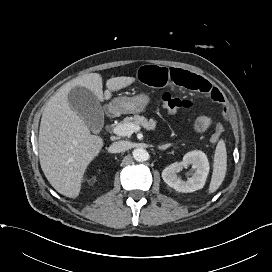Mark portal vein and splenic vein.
Masks as SVG:
<instances>
[{"mask_svg":"<svg viewBox=\"0 0 272 272\" xmlns=\"http://www.w3.org/2000/svg\"><path fill=\"white\" fill-rule=\"evenodd\" d=\"M141 127L134 124H119L113 128V133L118 136H130L140 131Z\"/></svg>","mask_w":272,"mask_h":272,"instance_id":"18ae733b","label":"portal vein and splenic vein"}]
</instances>
